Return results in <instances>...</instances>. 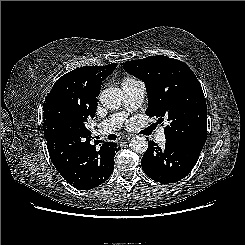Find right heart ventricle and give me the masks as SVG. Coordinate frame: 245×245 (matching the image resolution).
Returning a JSON list of instances; mask_svg holds the SVG:
<instances>
[{"label":"right heart ventricle","instance_id":"1","mask_svg":"<svg viewBox=\"0 0 245 245\" xmlns=\"http://www.w3.org/2000/svg\"><path fill=\"white\" fill-rule=\"evenodd\" d=\"M131 80H134V79L131 78V77H126V78H124L123 82H124V81H131Z\"/></svg>","mask_w":245,"mask_h":245}]
</instances>
